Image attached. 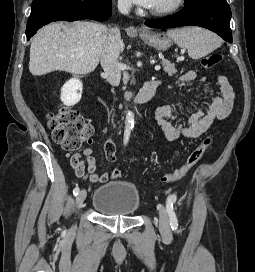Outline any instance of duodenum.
<instances>
[{"label": "duodenum", "instance_id": "obj_1", "mask_svg": "<svg viewBox=\"0 0 255 272\" xmlns=\"http://www.w3.org/2000/svg\"><path fill=\"white\" fill-rule=\"evenodd\" d=\"M159 81L157 79H149L144 83L136 97L132 100L133 105H143L149 102L156 93Z\"/></svg>", "mask_w": 255, "mask_h": 272}]
</instances>
